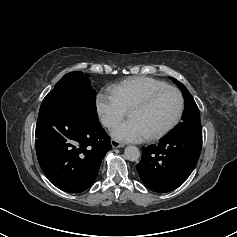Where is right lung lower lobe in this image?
<instances>
[{
    "mask_svg": "<svg viewBox=\"0 0 237 237\" xmlns=\"http://www.w3.org/2000/svg\"><path fill=\"white\" fill-rule=\"evenodd\" d=\"M36 153L42 171L59 189L80 193L95 181L112 148L99 120L79 118L43 101L36 125Z\"/></svg>",
    "mask_w": 237,
    "mask_h": 237,
    "instance_id": "1",
    "label": "right lung lower lobe"
}]
</instances>
